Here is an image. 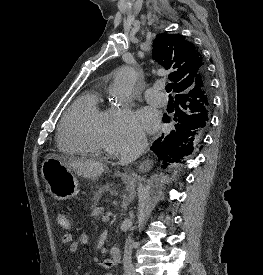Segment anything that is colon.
<instances>
[{
	"label": "colon",
	"instance_id": "5ec220e1",
	"mask_svg": "<svg viewBox=\"0 0 263 275\" xmlns=\"http://www.w3.org/2000/svg\"><path fill=\"white\" fill-rule=\"evenodd\" d=\"M57 223L64 230L69 229L70 226H71V222H70L69 217L66 214H64V213H59L57 215ZM67 234L68 233H66L64 235H67Z\"/></svg>",
	"mask_w": 263,
	"mask_h": 275
}]
</instances>
